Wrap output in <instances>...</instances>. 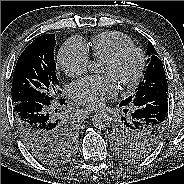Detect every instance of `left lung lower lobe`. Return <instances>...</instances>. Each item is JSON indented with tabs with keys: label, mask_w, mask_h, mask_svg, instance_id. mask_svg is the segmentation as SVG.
<instances>
[{
	"label": "left lung lower lobe",
	"mask_w": 184,
	"mask_h": 184,
	"mask_svg": "<svg viewBox=\"0 0 184 184\" xmlns=\"http://www.w3.org/2000/svg\"><path fill=\"white\" fill-rule=\"evenodd\" d=\"M167 94L168 92L163 91L148 93L131 105L134 107L131 114L133 124L143 130L146 126L151 127L150 133L153 136L151 142L138 143L135 152L150 151L161 140L168 111Z\"/></svg>",
	"instance_id": "1"
}]
</instances>
